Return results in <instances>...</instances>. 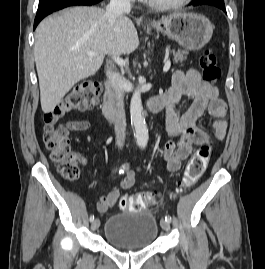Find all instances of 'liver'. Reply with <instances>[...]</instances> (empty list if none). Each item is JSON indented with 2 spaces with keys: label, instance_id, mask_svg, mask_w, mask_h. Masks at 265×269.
Instances as JSON below:
<instances>
[{
  "label": "liver",
  "instance_id": "6515ba94",
  "mask_svg": "<svg viewBox=\"0 0 265 269\" xmlns=\"http://www.w3.org/2000/svg\"><path fill=\"white\" fill-rule=\"evenodd\" d=\"M105 14L98 7H71L36 28L34 56L44 113L53 111L76 83L94 75L106 54H130L139 46L129 18L121 16L110 27ZM89 51L97 56H88Z\"/></svg>",
  "mask_w": 265,
  "mask_h": 269
}]
</instances>
